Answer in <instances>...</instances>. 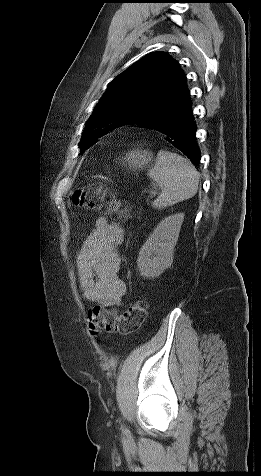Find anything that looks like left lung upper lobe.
I'll list each match as a JSON object with an SVG mask.
<instances>
[{
    "instance_id": "5c2ea615",
    "label": "left lung upper lobe",
    "mask_w": 261,
    "mask_h": 476,
    "mask_svg": "<svg viewBox=\"0 0 261 476\" xmlns=\"http://www.w3.org/2000/svg\"><path fill=\"white\" fill-rule=\"evenodd\" d=\"M187 94L176 60L164 52L144 56L109 83L83 130L80 152L117 127L161 114Z\"/></svg>"
}]
</instances>
